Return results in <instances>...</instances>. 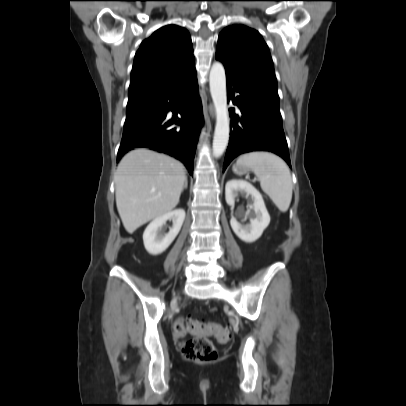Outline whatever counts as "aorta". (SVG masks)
Masks as SVG:
<instances>
[{"label": "aorta", "mask_w": 406, "mask_h": 406, "mask_svg": "<svg viewBox=\"0 0 406 406\" xmlns=\"http://www.w3.org/2000/svg\"><path fill=\"white\" fill-rule=\"evenodd\" d=\"M210 93L216 112V126L213 138V154L220 157L229 141L230 121L227 108L226 75L222 63L215 62L209 75Z\"/></svg>", "instance_id": "obj_1"}]
</instances>
